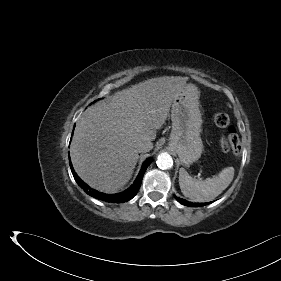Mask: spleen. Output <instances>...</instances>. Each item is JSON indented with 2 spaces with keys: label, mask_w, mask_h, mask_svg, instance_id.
I'll list each match as a JSON object with an SVG mask.
<instances>
[{
  "label": "spleen",
  "mask_w": 281,
  "mask_h": 281,
  "mask_svg": "<svg viewBox=\"0 0 281 281\" xmlns=\"http://www.w3.org/2000/svg\"><path fill=\"white\" fill-rule=\"evenodd\" d=\"M233 178V167L224 168L218 176L201 181L193 179L184 168L179 170L181 192L194 202L212 201L230 185Z\"/></svg>",
  "instance_id": "3e777b00"
}]
</instances>
